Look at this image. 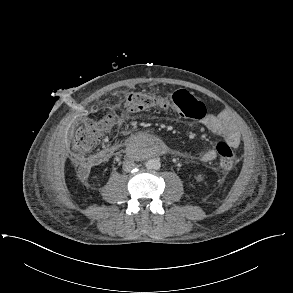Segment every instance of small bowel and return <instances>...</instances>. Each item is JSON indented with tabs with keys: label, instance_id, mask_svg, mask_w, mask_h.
Returning <instances> with one entry per match:
<instances>
[{
	"label": "small bowel",
	"instance_id": "1",
	"mask_svg": "<svg viewBox=\"0 0 293 293\" xmlns=\"http://www.w3.org/2000/svg\"><path fill=\"white\" fill-rule=\"evenodd\" d=\"M196 109V115L201 126L219 136H221L231 147L237 148L240 145V133L236 124L229 118H219L213 114L207 113L202 102ZM217 158L215 150L208 149L199 155L202 162H211Z\"/></svg>",
	"mask_w": 293,
	"mask_h": 293
}]
</instances>
